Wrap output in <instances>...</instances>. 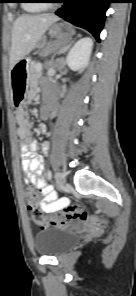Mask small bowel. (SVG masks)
Masks as SVG:
<instances>
[{"label":"small bowel","instance_id":"small-bowel-1","mask_svg":"<svg viewBox=\"0 0 136 296\" xmlns=\"http://www.w3.org/2000/svg\"><path fill=\"white\" fill-rule=\"evenodd\" d=\"M34 98V93H29V99ZM16 121L18 124V137L21 143L22 170L24 181L34 185L40 190L44 199L41 203V210L46 213L54 212L68 204L67 199H57L56 192L53 191L43 177V159L36 155L37 143L31 135L30 125L28 121V110L21 108L16 113ZM39 129L45 132V127L40 126ZM45 145V149H46Z\"/></svg>","mask_w":136,"mask_h":296}]
</instances>
